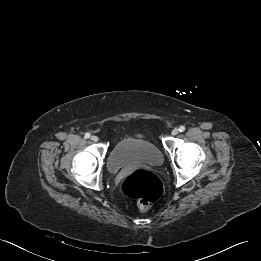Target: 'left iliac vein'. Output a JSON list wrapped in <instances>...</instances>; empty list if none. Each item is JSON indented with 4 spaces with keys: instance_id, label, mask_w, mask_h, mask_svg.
<instances>
[{
    "instance_id": "obj_1",
    "label": "left iliac vein",
    "mask_w": 261,
    "mask_h": 261,
    "mask_svg": "<svg viewBox=\"0 0 261 261\" xmlns=\"http://www.w3.org/2000/svg\"><path fill=\"white\" fill-rule=\"evenodd\" d=\"M171 133L175 136L179 133V130L177 128H174Z\"/></svg>"
}]
</instances>
